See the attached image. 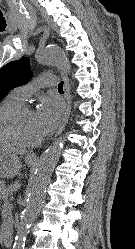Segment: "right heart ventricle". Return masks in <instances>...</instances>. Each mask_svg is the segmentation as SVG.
<instances>
[{"instance_id": "1", "label": "right heart ventricle", "mask_w": 135, "mask_h": 249, "mask_svg": "<svg viewBox=\"0 0 135 249\" xmlns=\"http://www.w3.org/2000/svg\"><path fill=\"white\" fill-rule=\"evenodd\" d=\"M22 103V100L18 99L13 93L7 95L0 102V145H14L17 144L8 134H6L1 128V118L3 114L14 106Z\"/></svg>"}]
</instances>
